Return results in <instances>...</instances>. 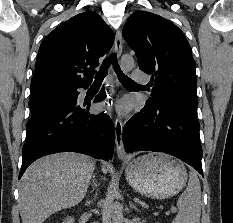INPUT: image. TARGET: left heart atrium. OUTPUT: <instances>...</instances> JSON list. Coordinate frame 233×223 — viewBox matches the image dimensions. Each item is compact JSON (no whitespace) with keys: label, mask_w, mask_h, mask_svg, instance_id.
Here are the masks:
<instances>
[{"label":"left heart atrium","mask_w":233,"mask_h":223,"mask_svg":"<svg viewBox=\"0 0 233 223\" xmlns=\"http://www.w3.org/2000/svg\"><path fill=\"white\" fill-rule=\"evenodd\" d=\"M110 110L114 111L118 115L124 116L129 111V104H128L127 100L120 99V100L116 101L112 105V107L110 108Z\"/></svg>","instance_id":"1"}]
</instances>
